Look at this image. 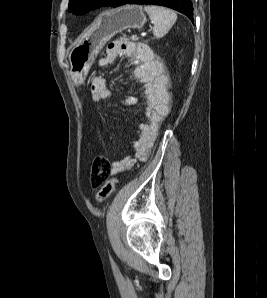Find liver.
I'll list each match as a JSON object with an SVG mask.
<instances>
[{"label":"liver","instance_id":"liver-1","mask_svg":"<svg viewBox=\"0 0 267 298\" xmlns=\"http://www.w3.org/2000/svg\"><path fill=\"white\" fill-rule=\"evenodd\" d=\"M93 29H94V27L91 28L89 31H87V32L81 37V40L79 41V43L82 41V39L88 37Z\"/></svg>","mask_w":267,"mask_h":298}]
</instances>
